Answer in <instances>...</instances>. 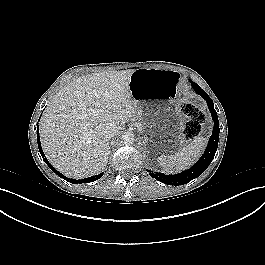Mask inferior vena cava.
<instances>
[{
	"label": "inferior vena cava",
	"mask_w": 265,
	"mask_h": 265,
	"mask_svg": "<svg viewBox=\"0 0 265 265\" xmlns=\"http://www.w3.org/2000/svg\"><path fill=\"white\" fill-rule=\"evenodd\" d=\"M101 133L106 138H111L118 133L117 129L110 123H106L101 128Z\"/></svg>",
	"instance_id": "obj_1"
}]
</instances>
